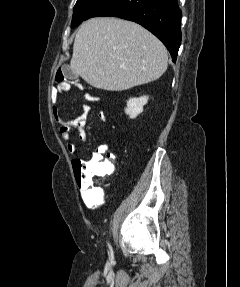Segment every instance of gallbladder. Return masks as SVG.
<instances>
[{
    "label": "gallbladder",
    "instance_id": "bac80fb5",
    "mask_svg": "<svg viewBox=\"0 0 240 287\" xmlns=\"http://www.w3.org/2000/svg\"><path fill=\"white\" fill-rule=\"evenodd\" d=\"M64 74H65V77L70 80H75L79 76L78 74L73 73L70 67L68 66L65 67Z\"/></svg>",
    "mask_w": 240,
    "mask_h": 287
}]
</instances>
